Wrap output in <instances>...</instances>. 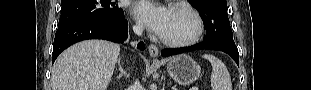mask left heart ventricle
Returning a JSON list of instances; mask_svg holds the SVG:
<instances>
[{"mask_svg": "<svg viewBox=\"0 0 311 90\" xmlns=\"http://www.w3.org/2000/svg\"><path fill=\"white\" fill-rule=\"evenodd\" d=\"M193 31V20L185 13L173 9L167 26L161 36L172 39H183L191 36Z\"/></svg>", "mask_w": 311, "mask_h": 90, "instance_id": "1", "label": "left heart ventricle"}]
</instances>
